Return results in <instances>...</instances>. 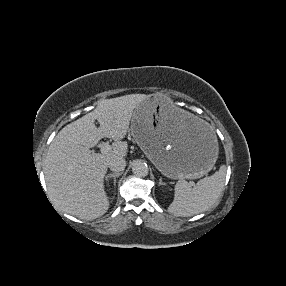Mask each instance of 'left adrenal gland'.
Instances as JSON below:
<instances>
[{"label": "left adrenal gland", "instance_id": "1", "mask_svg": "<svg viewBox=\"0 0 286 286\" xmlns=\"http://www.w3.org/2000/svg\"><path fill=\"white\" fill-rule=\"evenodd\" d=\"M159 185H165V183L162 181L161 178H160V180H159Z\"/></svg>", "mask_w": 286, "mask_h": 286}]
</instances>
